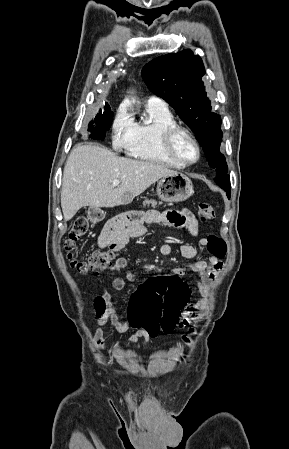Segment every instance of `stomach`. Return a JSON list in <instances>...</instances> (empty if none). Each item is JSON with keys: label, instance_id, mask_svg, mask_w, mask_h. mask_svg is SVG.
<instances>
[{"label": "stomach", "instance_id": "stomach-1", "mask_svg": "<svg viewBox=\"0 0 289 449\" xmlns=\"http://www.w3.org/2000/svg\"><path fill=\"white\" fill-rule=\"evenodd\" d=\"M157 196L166 202H182L193 195V183L182 173L162 177L157 184ZM93 222L96 217L91 218Z\"/></svg>", "mask_w": 289, "mask_h": 449}]
</instances>
